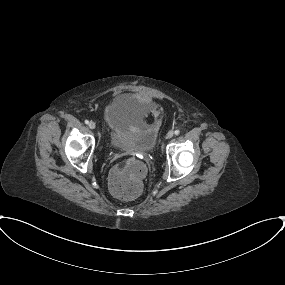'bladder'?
<instances>
[{
	"label": "bladder",
	"mask_w": 285,
	"mask_h": 285,
	"mask_svg": "<svg viewBox=\"0 0 285 285\" xmlns=\"http://www.w3.org/2000/svg\"><path fill=\"white\" fill-rule=\"evenodd\" d=\"M118 103H124L127 105L137 106V114H141L143 106L134 101L128 95H122L115 99L112 103V107ZM157 133L152 124H144L141 121L138 122L133 128L115 133L112 135L109 145L114 150H137L140 152H148L154 149L156 145Z\"/></svg>",
	"instance_id": "1"
}]
</instances>
